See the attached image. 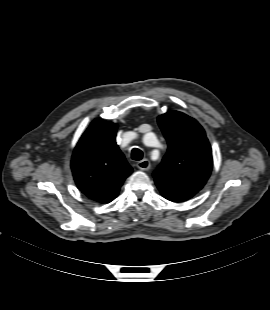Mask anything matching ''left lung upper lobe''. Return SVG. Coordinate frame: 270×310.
I'll use <instances>...</instances> for the list:
<instances>
[{"instance_id": "obj_1", "label": "left lung upper lobe", "mask_w": 270, "mask_h": 310, "mask_svg": "<svg viewBox=\"0 0 270 310\" xmlns=\"http://www.w3.org/2000/svg\"><path fill=\"white\" fill-rule=\"evenodd\" d=\"M158 124L168 142V151L154 173L155 183L201 190L213 165L204 129L195 119L178 111L160 115Z\"/></svg>"}]
</instances>
